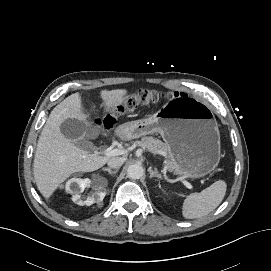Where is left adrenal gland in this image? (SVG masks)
<instances>
[{
	"label": "left adrenal gland",
	"instance_id": "1",
	"mask_svg": "<svg viewBox=\"0 0 271 271\" xmlns=\"http://www.w3.org/2000/svg\"><path fill=\"white\" fill-rule=\"evenodd\" d=\"M148 172L150 173V178L156 177L160 180L162 179V176L158 173L157 168L153 170L151 167H149Z\"/></svg>",
	"mask_w": 271,
	"mask_h": 271
}]
</instances>
